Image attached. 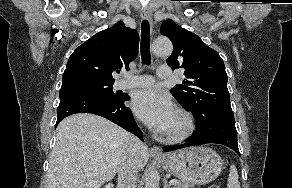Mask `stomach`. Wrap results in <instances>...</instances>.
Segmentation results:
<instances>
[{
    "label": "stomach",
    "mask_w": 292,
    "mask_h": 188,
    "mask_svg": "<svg viewBox=\"0 0 292 188\" xmlns=\"http://www.w3.org/2000/svg\"><path fill=\"white\" fill-rule=\"evenodd\" d=\"M158 161L180 180L197 185L216 179L223 167L221 157L213 149L203 146L182 149Z\"/></svg>",
    "instance_id": "1"
}]
</instances>
